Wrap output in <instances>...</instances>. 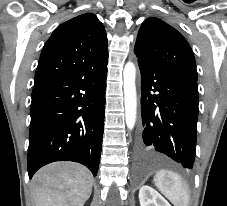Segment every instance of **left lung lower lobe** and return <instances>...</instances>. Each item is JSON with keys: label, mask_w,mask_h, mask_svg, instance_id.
Returning a JSON list of instances; mask_svg holds the SVG:
<instances>
[{"label": "left lung lower lobe", "mask_w": 227, "mask_h": 206, "mask_svg": "<svg viewBox=\"0 0 227 206\" xmlns=\"http://www.w3.org/2000/svg\"><path fill=\"white\" fill-rule=\"evenodd\" d=\"M142 133L139 151L161 152L192 169L198 119L196 79L138 61Z\"/></svg>", "instance_id": "left-lung-lower-lobe-1"}]
</instances>
